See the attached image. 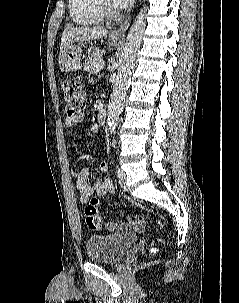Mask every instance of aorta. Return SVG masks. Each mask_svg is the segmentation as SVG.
I'll return each instance as SVG.
<instances>
[{
  "label": "aorta",
  "mask_w": 239,
  "mask_h": 303,
  "mask_svg": "<svg viewBox=\"0 0 239 303\" xmlns=\"http://www.w3.org/2000/svg\"><path fill=\"white\" fill-rule=\"evenodd\" d=\"M145 18V10L141 9L128 32L126 43L118 61L117 76L107 110V124L111 134L115 131L119 116L124 108L125 95L130 85L136 54L140 48L146 27Z\"/></svg>",
  "instance_id": "aorta-1"
}]
</instances>
